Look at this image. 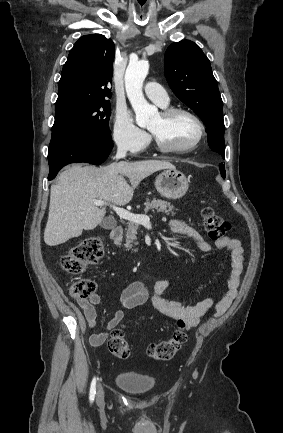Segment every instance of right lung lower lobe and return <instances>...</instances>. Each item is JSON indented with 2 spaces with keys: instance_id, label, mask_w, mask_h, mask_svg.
I'll return each mask as SVG.
<instances>
[{
  "instance_id": "98d812e1",
  "label": "right lung lower lobe",
  "mask_w": 283,
  "mask_h": 433,
  "mask_svg": "<svg viewBox=\"0 0 283 433\" xmlns=\"http://www.w3.org/2000/svg\"><path fill=\"white\" fill-rule=\"evenodd\" d=\"M112 148V139H102L94 134L52 133L48 150V180H52L62 167L70 163L88 162L99 165L107 159Z\"/></svg>"
}]
</instances>
